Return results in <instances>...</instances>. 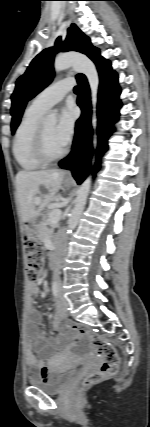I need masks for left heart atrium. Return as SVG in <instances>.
Listing matches in <instances>:
<instances>
[{"mask_svg": "<svg viewBox=\"0 0 150 427\" xmlns=\"http://www.w3.org/2000/svg\"><path fill=\"white\" fill-rule=\"evenodd\" d=\"M75 130L74 112L66 108L59 117L58 124L55 127V136L59 144L65 147L72 139Z\"/></svg>", "mask_w": 150, "mask_h": 427, "instance_id": "obj_1", "label": "left heart atrium"}]
</instances>
